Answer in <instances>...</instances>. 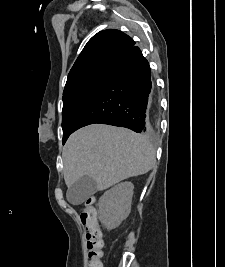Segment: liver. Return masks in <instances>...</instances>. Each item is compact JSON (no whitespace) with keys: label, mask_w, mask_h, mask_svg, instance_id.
Returning <instances> with one entry per match:
<instances>
[{"label":"liver","mask_w":225,"mask_h":267,"mask_svg":"<svg viewBox=\"0 0 225 267\" xmlns=\"http://www.w3.org/2000/svg\"><path fill=\"white\" fill-rule=\"evenodd\" d=\"M62 157L68 188L81 177L89 176L101 191L150 171L155 150L145 136L131 130L90 124L71 134Z\"/></svg>","instance_id":"6515ba94"}]
</instances>
